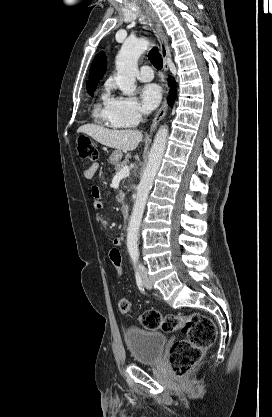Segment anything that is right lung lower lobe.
Returning <instances> with one entry per match:
<instances>
[{"label":"right lung lower lobe","mask_w":272,"mask_h":417,"mask_svg":"<svg viewBox=\"0 0 272 417\" xmlns=\"http://www.w3.org/2000/svg\"><path fill=\"white\" fill-rule=\"evenodd\" d=\"M169 86L171 87V90L169 92L168 103L172 106L176 98V89L173 84H170Z\"/></svg>","instance_id":"1"}]
</instances>
